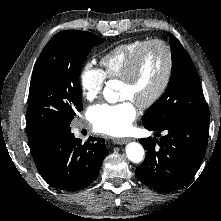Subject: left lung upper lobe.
<instances>
[{
	"label": "left lung upper lobe",
	"instance_id": "5c2ea615",
	"mask_svg": "<svg viewBox=\"0 0 221 221\" xmlns=\"http://www.w3.org/2000/svg\"><path fill=\"white\" fill-rule=\"evenodd\" d=\"M172 75L168 89L142 118L144 127L160 129L184 115L206 113L208 107L199 75L181 43L170 34Z\"/></svg>",
	"mask_w": 221,
	"mask_h": 221
}]
</instances>
